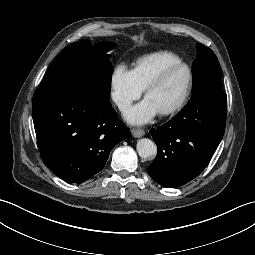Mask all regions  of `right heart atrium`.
<instances>
[{
  "instance_id": "right-heart-atrium-1",
  "label": "right heart atrium",
  "mask_w": 255,
  "mask_h": 255,
  "mask_svg": "<svg viewBox=\"0 0 255 255\" xmlns=\"http://www.w3.org/2000/svg\"><path fill=\"white\" fill-rule=\"evenodd\" d=\"M110 86L111 98L121 110L127 109L143 91L133 71L124 65H118L113 70Z\"/></svg>"
}]
</instances>
